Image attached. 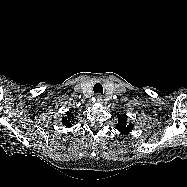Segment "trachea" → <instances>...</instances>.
<instances>
[{"instance_id":"3493384b","label":"trachea","mask_w":187,"mask_h":187,"mask_svg":"<svg viewBox=\"0 0 187 187\" xmlns=\"http://www.w3.org/2000/svg\"><path fill=\"white\" fill-rule=\"evenodd\" d=\"M93 91L98 94H103V87L102 84L96 83L93 87Z\"/></svg>"}]
</instances>
